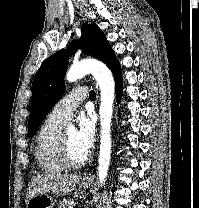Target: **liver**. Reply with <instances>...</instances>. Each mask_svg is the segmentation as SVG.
I'll return each mask as SVG.
<instances>
[{
	"mask_svg": "<svg viewBox=\"0 0 199 208\" xmlns=\"http://www.w3.org/2000/svg\"><path fill=\"white\" fill-rule=\"evenodd\" d=\"M79 175L77 174H39L31 178L25 203L32 197L42 193H55L57 195H65L72 192L79 183Z\"/></svg>",
	"mask_w": 199,
	"mask_h": 208,
	"instance_id": "liver-1",
	"label": "liver"
}]
</instances>
